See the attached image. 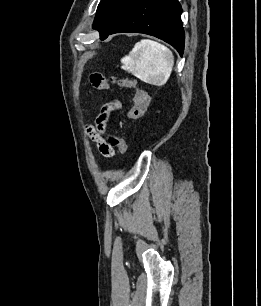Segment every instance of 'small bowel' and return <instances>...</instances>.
<instances>
[{
  "mask_svg": "<svg viewBox=\"0 0 261 306\" xmlns=\"http://www.w3.org/2000/svg\"><path fill=\"white\" fill-rule=\"evenodd\" d=\"M120 108L121 103L119 101L103 106L96 119L95 126H89L87 128L89 137L97 144L100 153L104 157H112L115 153L114 148H112L105 140L103 131L108 122L110 113Z\"/></svg>",
  "mask_w": 261,
  "mask_h": 306,
  "instance_id": "1",
  "label": "small bowel"
}]
</instances>
